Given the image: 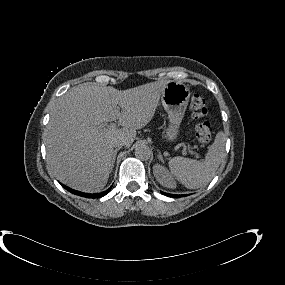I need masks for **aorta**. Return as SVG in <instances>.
Listing matches in <instances>:
<instances>
[{
  "mask_svg": "<svg viewBox=\"0 0 285 285\" xmlns=\"http://www.w3.org/2000/svg\"><path fill=\"white\" fill-rule=\"evenodd\" d=\"M150 155H151V150L145 144H139L135 148V156L140 160L146 161L150 158Z\"/></svg>",
  "mask_w": 285,
  "mask_h": 285,
  "instance_id": "1",
  "label": "aorta"
}]
</instances>
